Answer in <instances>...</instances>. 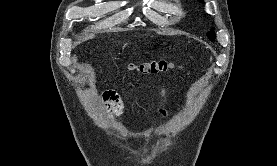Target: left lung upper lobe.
Returning a JSON list of instances; mask_svg holds the SVG:
<instances>
[{
    "label": "left lung upper lobe",
    "mask_w": 277,
    "mask_h": 166,
    "mask_svg": "<svg viewBox=\"0 0 277 166\" xmlns=\"http://www.w3.org/2000/svg\"><path fill=\"white\" fill-rule=\"evenodd\" d=\"M200 1H202V0H200ZM207 36L212 41L215 39V33H214L213 29L210 32L207 33Z\"/></svg>",
    "instance_id": "obj_1"
}]
</instances>
